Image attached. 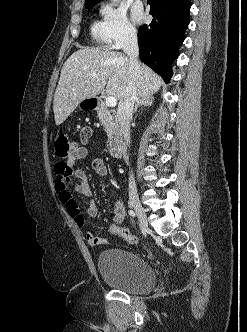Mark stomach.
I'll list each match as a JSON object with an SVG mask.
<instances>
[{
  "label": "stomach",
  "instance_id": "stomach-1",
  "mask_svg": "<svg viewBox=\"0 0 247 332\" xmlns=\"http://www.w3.org/2000/svg\"><path fill=\"white\" fill-rule=\"evenodd\" d=\"M89 99H85L83 101L80 102L79 106L80 108L82 109H90L91 106H90V101H88Z\"/></svg>",
  "mask_w": 247,
  "mask_h": 332
}]
</instances>
